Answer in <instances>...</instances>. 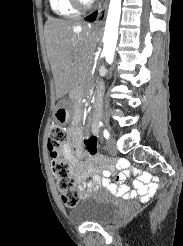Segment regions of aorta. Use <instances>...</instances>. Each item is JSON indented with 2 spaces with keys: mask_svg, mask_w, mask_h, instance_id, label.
<instances>
[{
  "mask_svg": "<svg viewBox=\"0 0 183 246\" xmlns=\"http://www.w3.org/2000/svg\"><path fill=\"white\" fill-rule=\"evenodd\" d=\"M121 15V0H110L105 31L103 36V52L106 61L112 62L118 39V27Z\"/></svg>",
  "mask_w": 183,
  "mask_h": 246,
  "instance_id": "762f6f07",
  "label": "aorta"
}]
</instances>
